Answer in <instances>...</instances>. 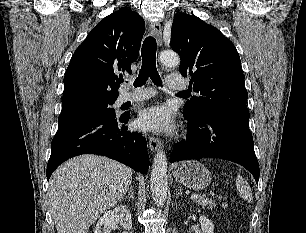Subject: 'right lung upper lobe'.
<instances>
[{"label":"right lung upper lobe","instance_id":"1","mask_svg":"<svg viewBox=\"0 0 306 233\" xmlns=\"http://www.w3.org/2000/svg\"><path fill=\"white\" fill-rule=\"evenodd\" d=\"M145 22L126 8L99 22L74 52L64 77L62 104L85 99L116 100L118 76L132 73Z\"/></svg>","mask_w":306,"mask_h":233}]
</instances>
